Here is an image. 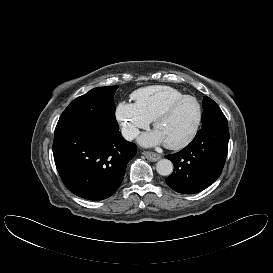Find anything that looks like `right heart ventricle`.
Wrapping results in <instances>:
<instances>
[{
    "label": "right heart ventricle",
    "instance_id": "1",
    "mask_svg": "<svg viewBox=\"0 0 273 273\" xmlns=\"http://www.w3.org/2000/svg\"><path fill=\"white\" fill-rule=\"evenodd\" d=\"M184 95L176 88L154 85L136 90L131 97L138 110L150 121H153L167 104Z\"/></svg>",
    "mask_w": 273,
    "mask_h": 273
}]
</instances>
